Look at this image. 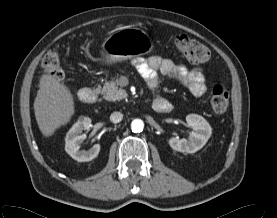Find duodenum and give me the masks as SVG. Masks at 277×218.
<instances>
[{"instance_id": "1", "label": "duodenum", "mask_w": 277, "mask_h": 218, "mask_svg": "<svg viewBox=\"0 0 277 218\" xmlns=\"http://www.w3.org/2000/svg\"><path fill=\"white\" fill-rule=\"evenodd\" d=\"M97 93L98 91L95 88L85 87L79 91L78 97L84 103H91L95 99ZM158 109L162 112L168 111L171 109L170 102L163 99Z\"/></svg>"}]
</instances>
